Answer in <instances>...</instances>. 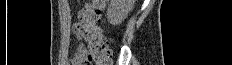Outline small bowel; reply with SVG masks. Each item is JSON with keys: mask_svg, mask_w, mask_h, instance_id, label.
Listing matches in <instances>:
<instances>
[{"mask_svg": "<svg viewBox=\"0 0 232 65\" xmlns=\"http://www.w3.org/2000/svg\"><path fill=\"white\" fill-rule=\"evenodd\" d=\"M73 33L77 40H82L85 38L84 28L81 21L73 26ZM83 46L78 50V52L70 59L69 65H85L87 64V56L82 51Z\"/></svg>", "mask_w": 232, "mask_h": 65, "instance_id": "small-bowel-1", "label": "small bowel"}]
</instances>
